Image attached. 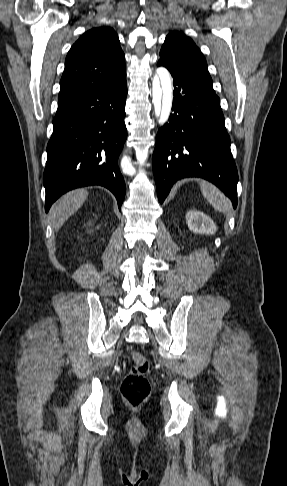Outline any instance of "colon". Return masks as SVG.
I'll return each mask as SVG.
<instances>
[{"instance_id":"1","label":"colon","mask_w":287,"mask_h":486,"mask_svg":"<svg viewBox=\"0 0 287 486\" xmlns=\"http://www.w3.org/2000/svg\"><path fill=\"white\" fill-rule=\"evenodd\" d=\"M133 366L121 383V393L132 407L142 405L150 395L151 384L147 378L149 362L140 353L132 354Z\"/></svg>"}]
</instances>
